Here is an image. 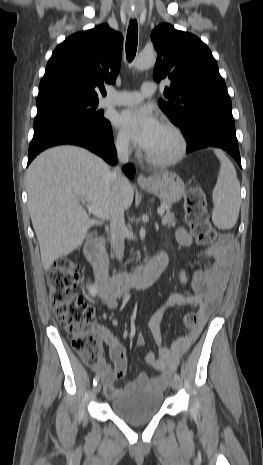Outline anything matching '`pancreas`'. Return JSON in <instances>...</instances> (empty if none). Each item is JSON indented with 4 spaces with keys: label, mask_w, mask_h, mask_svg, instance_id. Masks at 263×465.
<instances>
[{
    "label": "pancreas",
    "mask_w": 263,
    "mask_h": 465,
    "mask_svg": "<svg viewBox=\"0 0 263 465\" xmlns=\"http://www.w3.org/2000/svg\"><path fill=\"white\" fill-rule=\"evenodd\" d=\"M162 224L164 226H167V228L174 227L176 224V218L174 213L167 212L166 215L163 216Z\"/></svg>",
    "instance_id": "obj_1"
}]
</instances>
